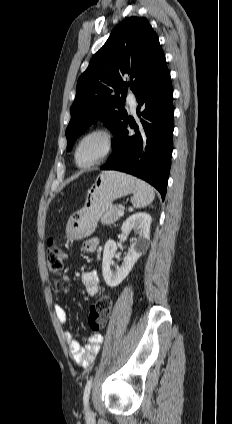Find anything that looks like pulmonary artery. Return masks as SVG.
Wrapping results in <instances>:
<instances>
[{
    "label": "pulmonary artery",
    "mask_w": 232,
    "mask_h": 424,
    "mask_svg": "<svg viewBox=\"0 0 232 424\" xmlns=\"http://www.w3.org/2000/svg\"><path fill=\"white\" fill-rule=\"evenodd\" d=\"M127 102L130 106V110L132 113H135L136 111V96L133 93H129L128 97H127Z\"/></svg>",
    "instance_id": "e3ab8cb5"
}]
</instances>
